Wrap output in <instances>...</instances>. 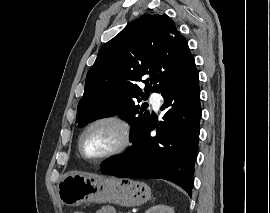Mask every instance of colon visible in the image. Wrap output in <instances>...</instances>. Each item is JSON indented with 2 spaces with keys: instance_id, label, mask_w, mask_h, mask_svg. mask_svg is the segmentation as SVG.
Returning <instances> with one entry per match:
<instances>
[{
  "instance_id": "colon-1",
  "label": "colon",
  "mask_w": 270,
  "mask_h": 213,
  "mask_svg": "<svg viewBox=\"0 0 270 213\" xmlns=\"http://www.w3.org/2000/svg\"><path fill=\"white\" fill-rule=\"evenodd\" d=\"M74 213H85V212H83V211H75Z\"/></svg>"
}]
</instances>
